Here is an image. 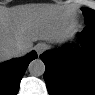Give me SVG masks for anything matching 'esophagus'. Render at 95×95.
Returning <instances> with one entry per match:
<instances>
[{"instance_id": "esophagus-1", "label": "esophagus", "mask_w": 95, "mask_h": 95, "mask_svg": "<svg viewBox=\"0 0 95 95\" xmlns=\"http://www.w3.org/2000/svg\"><path fill=\"white\" fill-rule=\"evenodd\" d=\"M47 48V45L44 43H39L35 46V50L38 53V55L42 54Z\"/></svg>"}]
</instances>
